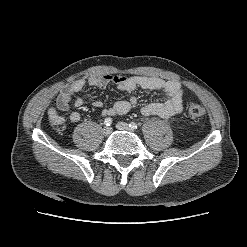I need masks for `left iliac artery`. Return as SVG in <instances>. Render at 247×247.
I'll use <instances>...</instances> for the list:
<instances>
[{
    "label": "left iliac artery",
    "mask_w": 247,
    "mask_h": 247,
    "mask_svg": "<svg viewBox=\"0 0 247 247\" xmlns=\"http://www.w3.org/2000/svg\"><path fill=\"white\" fill-rule=\"evenodd\" d=\"M129 128L130 129H137V124L132 122V123L129 124Z\"/></svg>",
    "instance_id": "1"
}]
</instances>
